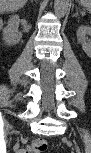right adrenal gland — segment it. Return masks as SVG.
Segmentation results:
<instances>
[{
  "label": "right adrenal gland",
  "instance_id": "1",
  "mask_svg": "<svg viewBox=\"0 0 91 153\" xmlns=\"http://www.w3.org/2000/svg\"><path fill=\"white\" fill-rule=\"evenodd\" d=\"M31 2H33V1H37V0H30Z\"/></svg>",
  "mask_w": 91,
  "mask_h": 153
}]
</instances>
